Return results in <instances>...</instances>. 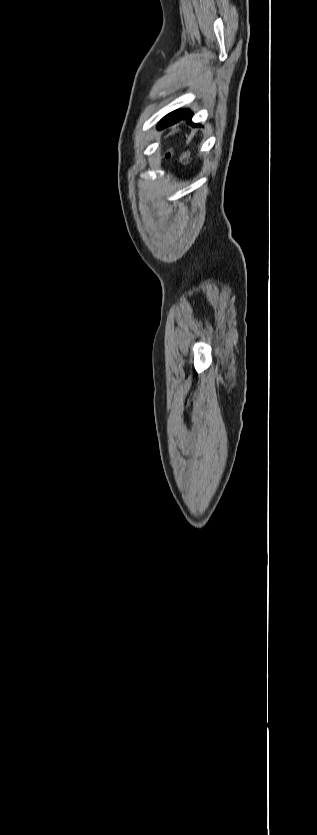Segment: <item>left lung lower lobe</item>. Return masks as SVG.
<instances>
[{"label":"left lung lower lobe","mask_w":317,"mask_h":835,"mask_svg":"<svg viewBox=\"0 0 317 835\" xmlns=\"http://www.w3.org/2000/svg\"><path fill=\"white\" fill-rule=\"evenodd\" d=\"M191 118L192 113L189 110H176L163 117L158 123L157 128L160 130L168 126H172L183 119L187 120L193 127L200 126L199 124L193 123Z\"/></svg>","instance_id":"0a47b994"}]
</instances>
